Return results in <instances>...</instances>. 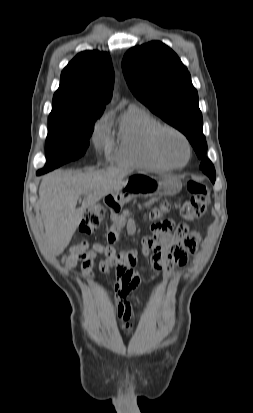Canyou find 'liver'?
Masks as SVG:
<instances>
[{
    "label": "liver",
    "mask_w": 253,
    "mask_h": 413,
    "mask_svg": "<svg viewBox=\"0 0 253 413\" xmlns=\"http://www.w3.org/2000/svg\"><path fill=\"white\" fill-rule=\"evenodd\" d=\"M127 174V170L111 167L82 173L58 170L43 177L39 187V205L47 247L53 255L61 254L69 245L85 210L118 189ZM80 196L84 199L77 209Z\"/></svg>",
    "instance_id": "liver-1"
}]
</instances>
